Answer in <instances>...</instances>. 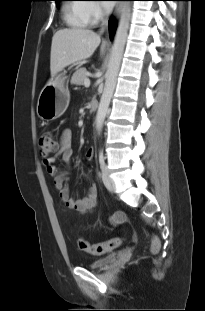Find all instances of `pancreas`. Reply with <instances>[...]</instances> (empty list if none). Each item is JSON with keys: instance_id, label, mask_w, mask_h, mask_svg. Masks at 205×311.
Returning <instances> with one entry per match:
<instances>
[{"instance_id": "pancreas-1", "label": "pancreas", "mask_w": 205, "mask_h": 311, "mask_svg": "<svg viewBox=\"0 0 205 311\" xmlns=\"http://www.w3.org/2000/svg\"><path fill=\"white\" fill-rule=\"evenodd\" d=\"M87 78V70L85 68L78 69L71 78V83L75 85H83Z\"/></svg>"}]
</instances>
